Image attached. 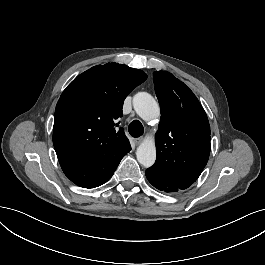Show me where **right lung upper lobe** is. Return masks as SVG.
Returning a JSON list of instances; mask_svg holds the SVG:
<instances>
[{"label": "right lung upper lobe", "instance_id": "obj_1", "mask_svg": "<svg viewBox=\"0 0 265 265\" xmlns=\"http://www.w3.org/2000/svg\"><path fill=\"white\" fill-rule=\"evenodd\" d=\"M146 78L142 70L116 63L94 66L77 76L56 105V154L103 155L129 144L123 129L117 132L114 123L122 117L124 99Z\"/></svg>", "mask_w": 265, "mask_h": 265}]
</instances>
